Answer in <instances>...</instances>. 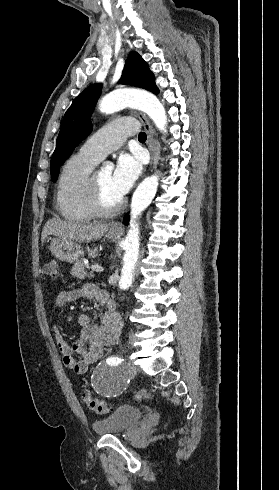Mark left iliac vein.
Masks as SVG:
<instances>
[{
	"mask_svg": "<svg viewBox=\"0 0 279 490\" xmlns=\"http://www.w3.org/2000/svg\"><path fill=\"white\" fill-rule=\"evenodd\" d=\"M134 363H135V360L133 358H130L128 360V362L125 363V367L127 368L128 373L130 375H135L136 374V371L137 370H136V367H135Z\"/></svg>",
	"mask_w": 279,
	"mask_h": 490,
	"instance_id": "obj_1",
	"label": "left iliac vein"
}]
</instances>
